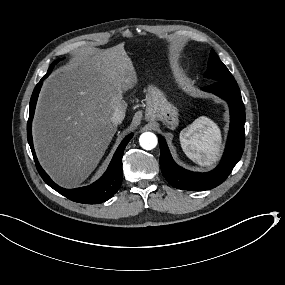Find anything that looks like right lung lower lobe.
<instances>
[{
    "label": "right lung lower lobe",
    "instance_id": "right-lung-lower-lobe-1",
    "mask_svg": "<svg viewBox=\"0 0 285 285\" xmlns=\"http://www.w3.org/2000/svg\"><path fill=\"white\" fill-rule=\"evenodd\" d=\"M48 76V75H47ZM46 75L40 80V82L36 85L30 100L29 106V119L27 123V137L28 143L30 145L33 158L35 160L36 168L45 181L51 188L56 190L58 193L62 194L66 198L78 202V203H85V204H98L102 203L108 199H110L120 188L122 183V156L124 149L130 139L132 138L133 134L128 135L119 145L118 149L116 150L113 159L104 173V175L98 179L93 184L75 188V189H64L54 183L47 173L42 169L40 166L35 151L33 147V140H32V119L34 116L35 106L38 98V94L40 92L42 81L47 77Z\"/></svg>",
    "mask_w": 285,
    "mask_h": 285
}]
</instances>
